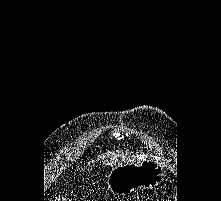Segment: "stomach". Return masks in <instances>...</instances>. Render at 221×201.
I'll use <instances>...</instances> for the list:
<instances>
[{"mask_svg": "<svg viewBox=\"0 0 221 201\" xmlns=\"http://www.w3.org/2000/svg\"><path fill=\"white\" fill-rule=\"evenodd\" d=\"M165 176L164 166L147 158L115 165L107 176V185L114 195H127L138 189L156 187L163 182Z\"/></svg>", "mask_w": 221, "mask_h": 201, "instance_id": "0dacf381", "label": "stomach"}]
</instances>
